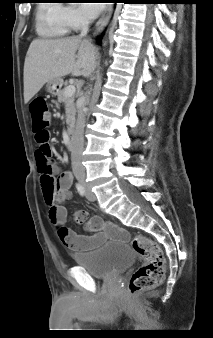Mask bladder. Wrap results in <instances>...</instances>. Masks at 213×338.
Returning a JSON list of instances; mask_svg holds the SVG:
<instances>
[{"label":"bladder","mask_w":213,"mask_h":338,"mask_svg":"<svg viewBox=\"0 0 213 338\" xmlns=\"http://www.w3.org/2000/svg\"><path fill=\"white\" fill-rule=\"evenodd\" d=\"M74 259L93 278L109 279L131 266L135 253L128 243H106L91 252L77 254Z\"/></svg>","instance_id":"bladder-1"}]
</instances>
